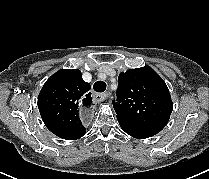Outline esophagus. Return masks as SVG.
<instances>
[{
  "label": "esophagus",
  "instance_id": "obj_1",
  "mask_svg": "<svg viewBox=\"0 0 209 179\" xmlns=\"http://www.w3.org/2000/svg\"><path fill=\"white\" fill-rule=\"evenodd\" d=\"M111 96V93L109 91L103 93V94H98L94 97H87L83 98L81 100V109H82V120L85 123H90L93 120V106L97 102L104 101L108 97Z\"/></svg>",
  "mask_w": 209,
  "mask_h": 179
}]
</instances>
